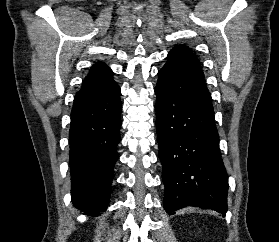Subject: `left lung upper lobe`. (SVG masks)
I'll list each match as a JSON object with an SVG mask.
<instances>
[{
    "label": "left lung upper lobe",
    "mask_w": 279,
    "mask_h": 242,
    "mask_svg": "<svg viewBox=\"0 0 279 242\" xmlns=\"http://www.w3.org/2000/svg\"><path fill=\"white\" fill-rule=\"evenodd\" d=\"M170 52L178 53L184 55L188 58L192 63L196 64L199 68H201V63L197 59V57L191 52L189 47L184 45H176Z\"/></svg>",
    "instance_id": "left-lung-upper-lobe-1"
}]
</instances>
